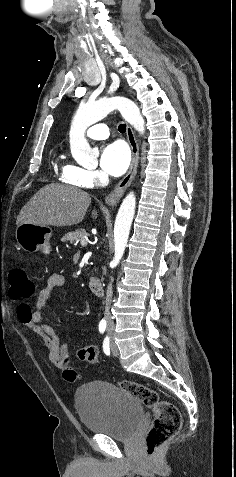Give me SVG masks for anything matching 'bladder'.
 <instances>
[{
	"label": "bladder",
	"instance_id": "obj_1",
	"mask_svg": "<svg viewBox=\"0 0 236 477\" xmlns=\"http://www.w3.org/2000/svg\"><path fill=\"white\" fill-rule=\"evenodd\" d=\"M75 404L84 427L116 440L136 435L144 420L142 403L121 387L93 381L79 388Z\"/></svg>",
	"mask_w": 236,
	"mask_h": 477
}]
</instances>
